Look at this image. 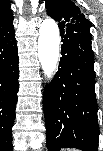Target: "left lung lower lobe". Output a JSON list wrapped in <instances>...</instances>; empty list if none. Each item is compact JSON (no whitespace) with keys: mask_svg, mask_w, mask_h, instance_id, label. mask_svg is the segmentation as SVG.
Segmentation results:
<instances>
[{"mask_svg":"<svg viewBox=\"0 0 103 151\" xmlns=\"http://www.w3.org/2000/svg\"><path fill=\"white\" fill-rule=\"evenodd\" d=\"M58 72L44 91L46 138L49 151L78 148L98 151V105L95 95L91 33L83 26L60 30Z\"/></svg>","mask_w":103,"mask_h":151,"instance_id":"left-lung-lower-lobe-1","label":"left lung lower lobe"}]
</instances>
